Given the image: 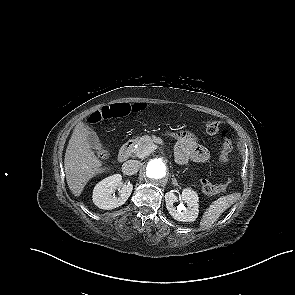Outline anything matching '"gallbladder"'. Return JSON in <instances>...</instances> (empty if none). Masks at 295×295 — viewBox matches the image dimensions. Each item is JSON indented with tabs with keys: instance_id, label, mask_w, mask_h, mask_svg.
<instances>
[{
	"instance_id": "obj_1",
	"label": "gallbladder",
	"mask_w": 295,
	"mask_h": 295,
	"mask_svg": "<svg viewBox=\"0 0 295 295\" xmlns=\"http://www.w3.org/2000/svg\"><path fill=\"white\" fill-rule=\"evenodd\" d=\"M88 142L89 144L91 145V147L93 149H96V150H103V145L99 139V137L97 136L96 133H91L89 136H88Z\"/></svg>"
}]
</instances>
